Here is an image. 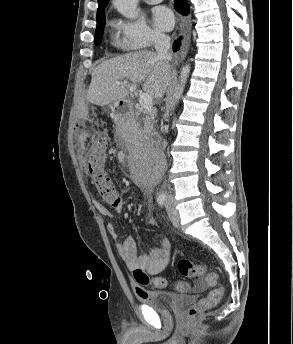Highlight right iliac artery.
<instances>
[{"mask_svg":"<svg viewBox=\"0 0 293 344\" xmlns=\"http://www.w3.org/2000/svg\"><path fill=\"white\" fill-rule=\"evenodd\" d=\"M157 202L160 206H164L166 202V197L164 195H159L157 197Z\"/></svg>","mask_w":293,"mask_h":344,"instance_id":"1","label":"right iliac artery"}]
</instances>
